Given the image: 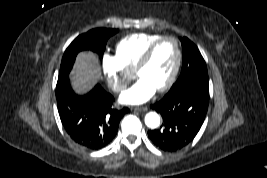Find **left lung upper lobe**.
Listing matches in <instances>:
<instances>
[{
  "instance_id": "left-lung-upper-lobe-1",
  "label": "left lung upper lobe",
  "mask_w": 267,
  "mask_h": 178,
  "mask_svg": "<svg viewBox=\"0 0 267 178\" xmlns=\"http://www.w3.org/2000/svg\"><path fill=\"white\" fill-rule=\"evenodd\" d=\"M183 63L181 74L170 90L187 83H201L208 86V73L205 61L196 45L188 38L181 39Z\"/></svg>"
}]
</instances>
